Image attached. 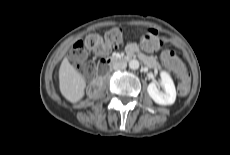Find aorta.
<instances>
[{
  "label": "aorta",
  "instance_id": "762f6f07",
  "mask_svg": "<svg viewBox=\"0 0 230 155\" xmlns=\"http://www.w3.org/2000/svg\"><path fill=\"white\" fill-rule=\"evenodd\" d=\"M139 61L136 59L130 60L129 61V68L132 70H137L139 68Z\"/></svg>",
  "mask_w": 230,
  "mask_h": 155
}]
</instances>
